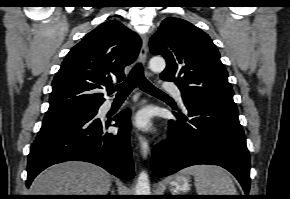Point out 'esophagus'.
Returning <instances> with one entry per match:
<instances>
[{"instance_id": "esophagus-1", "label": "esophagus", "mask_w": 290, "mask_h": 199, "mask_svg": "<svg viewBox=\"0 0 290 199\" xmlns=\"http://www.w3.org/2000/svg\"><path fill=\"white\" fill-rule=\"evenodd\" d=\"M147 52H148V38L146 35H144L142 37V47L140 50V59L144 64L147 61ZM147 75L150 76V73L147 72ZM138 142H139L141 154L144 158H146L148 154L150 153L149 142L146 139V137H144L141 134H138Z\"/></svg>"}]
</instances>
